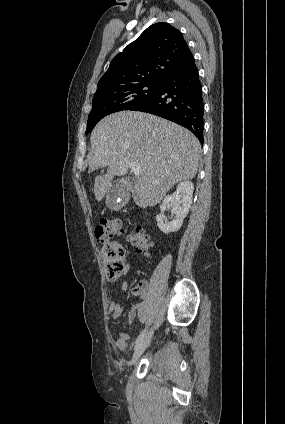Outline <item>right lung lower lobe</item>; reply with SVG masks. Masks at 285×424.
<instances>
[{
	"label": "right lung lower lobe",
	"instance_id": "98d812e1",
	"mask_svg": "<svg viewBox=\"0 0 285 424\" xmlns=\"http://www.w3.org/2000/svg\"><path fill=\"white\" fill-rule=\"evenodd\" d=\"M130 110L151 113L189 129L203 144L202 86L195 61L162 81L152 97Z\"/></svg>",
	"mask_w": 285,
	"mask_h": 424
}]
</instances>
